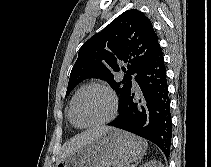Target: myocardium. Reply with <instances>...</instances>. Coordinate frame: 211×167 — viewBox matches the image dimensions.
<instances>
[{
	"mask_svg": "<svg viewBox=\"0 0 211 167\" xmlns=\"http://www.w3.org/2000/svg\"><path fill=\"white\" fill-rule=\"evenodd\" d=\"M91 88L102 89L110 96V99L112 102V110H111L110 115L101 121L83 124V123L78 122L75 118V115H74L75 104H76V101L79 98V96L82 93H84L86 90L91 89ZM117 112H118V98H117L115 92L113 91V89L106 84L92 82V83H89V84L83 86L80 90L77 91V93L72 98V101L70 104V109H69V118H70L71 122L79 128H92V127L103 126V125L110 123L116 117Z\"/></svg>",
	"mask_w": 211,
	"mask_h": 167,
	"instance_id": "f54148a6",
	"label": "myocardium"
}]
</instances>
